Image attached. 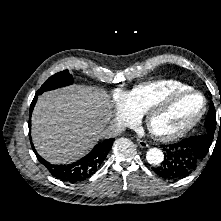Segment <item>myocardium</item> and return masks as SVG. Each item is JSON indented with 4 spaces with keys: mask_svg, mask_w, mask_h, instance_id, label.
Here are the masks:
<instances>
[{
    "mask_svg": "<svg viewBox=\"0 0 221 221\" xmlns=\"http://www.w3.org/2000/svg\"><path fill=\"white\" fill-rule=\"evenodd\" d=\"M188 95H198L202 100V104L197 113L187 123L171 132H159L152 128V120L156 115H158L170 105L174 104L178 100ZM206 108L207 101L205 96L201 92L190 88L170 93L167 96L157 101H154L144 114V122L148 131L155 139L163 142H171L178 140L179 138L186 135L190 130H192L204 116Z\"/></svg>",
    "mask_w": 221,
    "mask_h": 221,
    "instance_id": "f54148a6",
    "label": "myocardium"
}]
</instances>
